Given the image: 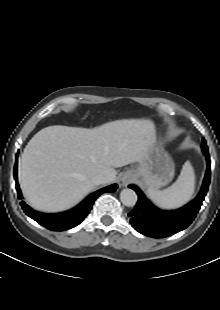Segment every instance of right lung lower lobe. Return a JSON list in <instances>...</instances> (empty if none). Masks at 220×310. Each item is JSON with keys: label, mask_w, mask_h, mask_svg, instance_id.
Returning <instances> with one entry per match:
<instances>
[{"label": "right lung lower lobe", "mask_w": 220, "mask_h": 310, "mask_svg": "<svg viewBox=\"0 0 220 310\" xmlns=\"http://www.w3.org/2000/svg\"><path fill=\"white\" fill-rule=\"evenodd\" d=\"M17 164H18V156L16 155V163L14 167V178L16 181V189L18 192V198L22 199V194H21V191L18 185V179H17ZM117 187L118 186L116 184H113L111 186L102 188L92 193L91 195H89L77 207L67 212H63V213L45 214V213H41V212H37L33 210L24 201H22L20 204L24 212L30 218L38 222L40 225L52 231H64V230H68L70 228H73L79 225L84 220V218L89 214L92 208V205L94 204V201L96 200V198H98V196H100L102 193L114 192L117 189Z\"/></svg>", "instance_id": "right-lung-lower-lobe-1"}]
</instances>
